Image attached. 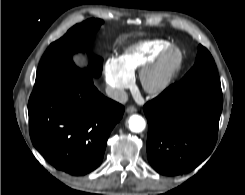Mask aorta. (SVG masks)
<instances>
[{
  "label": "aorta",
  "mask_w": 245,
  "mask_h": 195,
  "mask_svg": "<svg viewBox=\"0 0 245 195\" xmlns=\"http://www.w3.org/2000/svg\"><path fill=\"white\" fill-rule=\"evenodd\" d=\"M128 124H129V129L135 133L142 132L146 126L144 118L137 114L130 116L128 120Z\"/></svg>",
  "instance_id": "obj_1"
}]
</instances>
